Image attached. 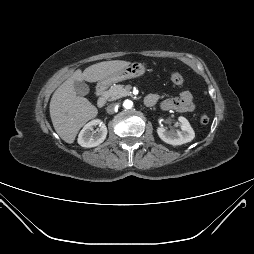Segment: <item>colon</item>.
Here are the masks:
<instances>
[{
  "instance_id": "colon-1",
  "label": "colon",
  "mask_w": 254,
  "mask_h": 254,
  "mask_svg": "<svg viewBox=\"0 0 254 254\" xmlns=\"http://www.w3.org/2000/svg\"><path fill=\"white\" fill-rule=\"evenodd\" d=\"M170 79L176 85H182L185 82L184 76L177 72L172 73ZM199 120L202 124H207L209 122V116L203 113L199 116Z\"/></svg>"
}]
</instances>
